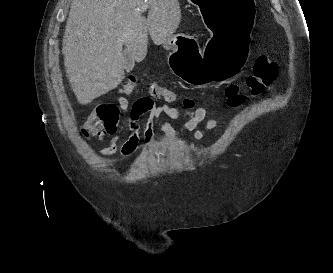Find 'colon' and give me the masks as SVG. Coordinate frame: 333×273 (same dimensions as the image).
I'll return each mask as SVG.
<instances>
[{
  "label": "colon",
  "instance_id": "obj_1",
  "mask_svg": "<svg viewBox=\"0 0 333 273\" xmlns=\"http://www.w3.org/2000/svg\"><path fill=\"white\" fill-rule=\"evenodd\" d=\"M277 73V65L269 56H259L253 67V72L246 78L244 87L231 84L226 87L224 95L226 104L230 107H238L245 101L244 91L252 95L260 94L266 86L272 83ZM136 91V77L130 75L121 87V93L131 95ZM150 97L155 100H164L168 103L182 101L186 108L194 105L190 97H180L176 92L152 83L149 87ZM119 121V110L113 104L101 103L88 115L83 125V133L87 137H100L106 133H113Z\"/></svg>",
  "mask_w": 333,
  "mask_h": 273
}]
</instances>
